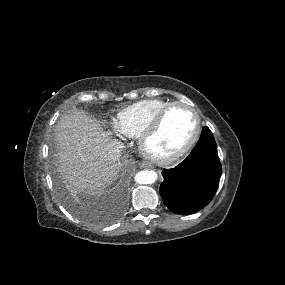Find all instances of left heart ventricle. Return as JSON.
I'll return each instance as SVG.
<instances>
[{
    "instance_id": "obj_1",
    "label": "left heart ventricle",
    "mask_w": 285,
    "mask_h": 285,
    "mask_svg": "<svg viewBox=\"0 0 285 285\" xmlns=\"http://www.w3.org/2000/svg\"><path fill=\"white\" fill-rule=\"evenodd\" d=\"M196 127L193 113L184 107L173 108L159 131L149 139L148 151L158 157L168 156L182 148L192 137Z\"/></svg>"
}]
</instances>
